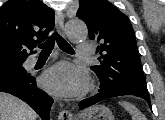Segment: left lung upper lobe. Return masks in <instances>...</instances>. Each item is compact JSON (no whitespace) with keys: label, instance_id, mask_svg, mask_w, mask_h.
Segmentation results:
<instances>
[{"label":"left lung upper lobe","instance_id":"left-lung-upper-lobe-1","mask_svg":"<svg viewBox=\"0 0 165 120\" xmlns=\"http://www.w3.org/2000/svg\"><path fill=\"white\" fill-rule=\"evenodd\" d=\"M76 15L85 21L89 38L100 44L101 61L91 67L100 79V92L149 96L128 17L108 0H79Z\"/></svg>","mask_w":165,"mask_h":120}]
</instances>
